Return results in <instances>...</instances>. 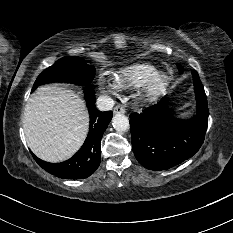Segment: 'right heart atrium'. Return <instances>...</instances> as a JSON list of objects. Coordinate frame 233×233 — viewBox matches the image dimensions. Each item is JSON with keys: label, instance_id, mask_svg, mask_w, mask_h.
I'll list each match as a JSON object with an SVG mask.
<instances>
[{"label": "right heart atrium", "instance_id": "obj_1", "mask_svg": "<svg viewBox=\"0 0 233 233\" xmlns=\"http://www.w3.org/2000/svg\"><path fill=\"white\" fill-rule=\"evenodd\" d=\"M103 87L105 90H107L110 93H115L118 89V87L111 81L105 80L103 81Z\"/></svg>", "mask_w": 233, "mask_h": 233}]
</instances>
